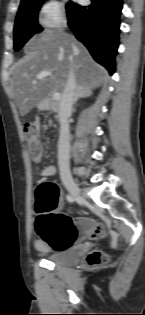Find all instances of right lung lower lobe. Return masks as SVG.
Segmentation results:
<instances>
[{"label": "right lung lower lobe", "instance_id": "right-lung-lower-lobe-1", "mask_svg": "<svg viewBox=\"0 0 145 315\" xmlns=\"http://www.w3.org/2000/svg\"><path fill=\"white\" fill-rule=\"evenodd\" d=\"M121 9L122 0H91L89 6L70 2L67 7L68 25L76 38L111 74L115 71Z\"/></svg>", "mask_w": 145, "mask_h": 315}]
</instances>
